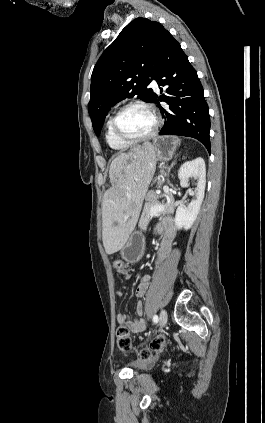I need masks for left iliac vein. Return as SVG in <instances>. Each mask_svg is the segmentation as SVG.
Wrapping results in <instances>:
<instances>
[{"mask_svg":"<svg viewBox=\"0 0 265 423\" xmlns=\"http://www.w3.org/2000/svg\"><path fill=\"white\" fill-rule=\"evenodd\" d=\"M168 315L166 310L162 309L159 315V324L161 327L165 326L167 323Z\"/></svg>","mask_w":265,"mask_h":423,"instance_id":"left-iliac-vein-1","label":"left iliac vein"}]
</instances>
